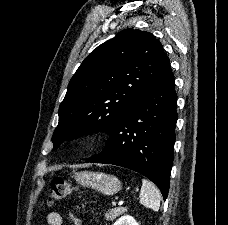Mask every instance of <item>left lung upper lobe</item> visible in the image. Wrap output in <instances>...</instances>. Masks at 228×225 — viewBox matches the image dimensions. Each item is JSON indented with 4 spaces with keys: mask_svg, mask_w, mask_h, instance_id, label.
Returning <instances> with one entry per match:
<instances>
[{
    "mask_svg": "<svg viewBox=\"0 0 228 225\" xmlns=\"http://www.w3.org/2000/svg\"><path fill=\"white\" fill-rule=\"evenodd\" d=\"M169 63L152 33L125 29L101 44L82 62L59 108L54 150L88 131L109 133Z\"/></svg>",
    "mask_w": 228,
    "mask_h": 225,
    "instance_id": "left-lung-upper-lobe-1",
    "label": "left lung upper lobe"
}]
</instances>
